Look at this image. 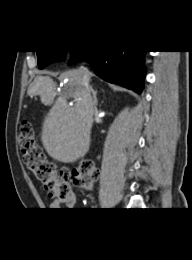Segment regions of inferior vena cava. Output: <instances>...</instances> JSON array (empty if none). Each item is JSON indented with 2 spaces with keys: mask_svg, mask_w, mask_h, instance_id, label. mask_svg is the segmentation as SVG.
<instances>
[{
  "mask_svg": "<svg viewBox=\"0 0 192 260\" xmlns=\"http://www.w3.org/2000/svg\"><path fill=\"white\" fill-rule=\"evenodd\" d=\"M85 76H84V79H85V86H86V89H87V92H88V95H90V87H89V83H88V80H87V76H88V70L87 68H83L82 69Z\"/></svg>",
  "mask_w": 192,
  "mask_h": 260,
  "instance_id": "602c4592",
  "label": "inferior vena cava"
}]
</instances>
